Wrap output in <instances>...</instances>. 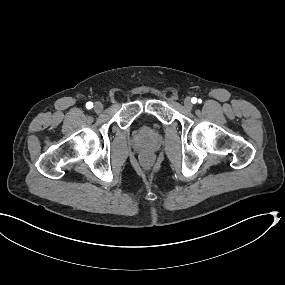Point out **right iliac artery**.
Listing matches in <instances>:
<instances>
[{
    "label": "right iliac artery",
    "instance_id": "obj_1",
    "mask_svg": "<svg viewBox=\"0 0 285 285\" xmlns=\"http://www.w3.org/2000/svg\"><path fill=\"white\" fill-rule=\"evenodd\" d=\"M93 107V103L92 102H87L86 103V108L87 109H91Z\"/></svg>",
    "mask_w": 285,
    "mask_h": 285
}]
</instances>
